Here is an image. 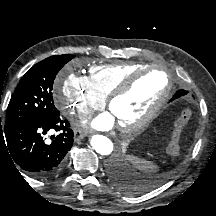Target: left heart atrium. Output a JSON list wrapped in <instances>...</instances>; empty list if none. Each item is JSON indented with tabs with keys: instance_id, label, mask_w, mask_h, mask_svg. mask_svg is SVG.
I'll return each instance as SVG.
<instances>
[{
	"instance_id": "obj_1",
	"label": "left heart atrium",
	"mask_w": 216,
	"mask_h": 216,
	"mask_svg": "<svg viewBox=\"0 0 216 216\" xmlns=\"http://www.w3.org/2000/svg\"><path fill=\"white\" fill-rule=\"evenodd\" d=\"M114 117L110 113H103L94 118L90 125L97 130H109L114 125Z\"/></svg>"
}]
</instances>
